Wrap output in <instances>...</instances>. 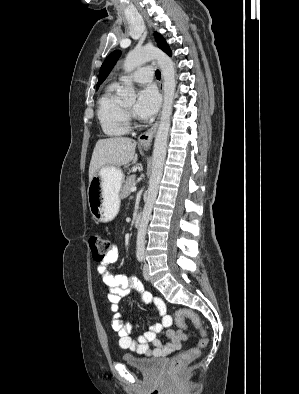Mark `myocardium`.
<instances>
[{"instance_id":"obj_1","label":"myocardium","mask_w":299,"mask_h":394,"mask_svg":"<svg viewBox=\"0 0 299 394\" xmlns=\"http://www.w3.org/2000/svg\"><path fill=\"white\" fill-rule=\"evenodd\" d=\"M124 110H125L127 119H131L132 113H131L130 109H127V108L124 106Z\"/></svg>"}]
</instances>
